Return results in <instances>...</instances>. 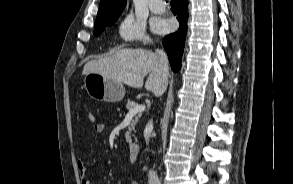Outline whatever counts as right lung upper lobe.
Listing matches in <instances>:
<instances>
[{"label": "right lung upper lobe", "mask_w": 293, "mask_h": 184, "mask_svg": "<svg viewBox=\"0 0 293 184\" xmlns=\"http://www.w3.org/2000/svg\"><path fill=\"white\" fill-rule=\"evenodd\" d=\"M127 0H101L95 25L109 23L118 19Z\"/></svg>", "instance_id": "cb5924a9"}]
</instances>
